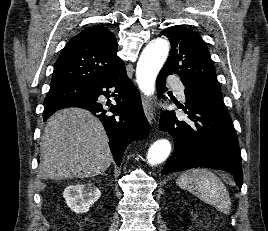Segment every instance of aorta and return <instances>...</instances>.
I'll list each match as a JSON object with an SVG mask.
<instances>
[{"mask_svg": "<svg viewBox=\"0 0 268 231\" xmlns=\"http://www.w3.org/2000/svg\"><path fill=\"white\" fill-rule=\"evenodd\" d=\"M169 49L170 44L166 39L157 38L148 43L139 57L136 68L137 84L147 96L154 94L156 77L168 57ZM170 152V141L159 139L150 146L147 162L151 166L160 164L168 158Z\"/></svg>", "mask_w": 268, "mask_h": 231, "instance_id": "1", "label": "aorta"}]
</instances>
